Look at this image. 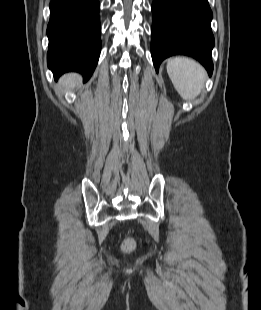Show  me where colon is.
<instances>
[{
	"label": "colon",
	"mask_w": 261,
	"mask_h": 310,
	"mask_svg": "<svg viewBox=\"0 0 261 310\" xmlns=\"http://www.w3.org/2000/svg\"><path fill=\"white\" fill-rule=\"evenodd\" d=\"M124 249L126 251H130L133 249L134 247V241L132 239H127L125 242H124V245H123Z\"/></svg>",
	"instance_id": "1"
}]
</instances>
